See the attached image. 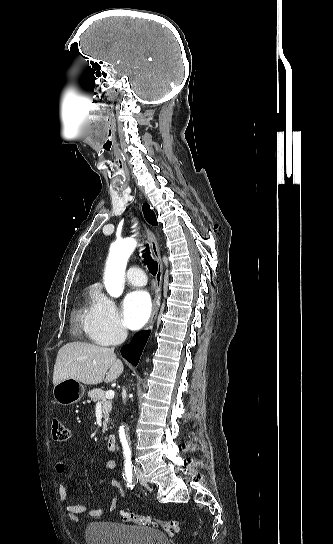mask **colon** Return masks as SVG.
I'll use <instances>...</instances> for the list:
<instances>
[{
	"instance_id": "colon-1",
	"label": "colon",
	"mask_w": 333,
	"mask_h": 544,
	"mask_svg": "<svg viewBox=\"0 0 333 544\" xmlns=\"http://www.w3.org/2000/svg\"><path fill=\"white\" fill-rule=\"evenodd\" d=\"M52 435L54 440L65 442L70 438V431L60 419L56 418L52 422ZM121 518L124 521L132 522L144 527H160L169 536H172L181 530L177 521H157L151 517L138 515L131 511H122Z\"/></svg>"
}]
</instances>
